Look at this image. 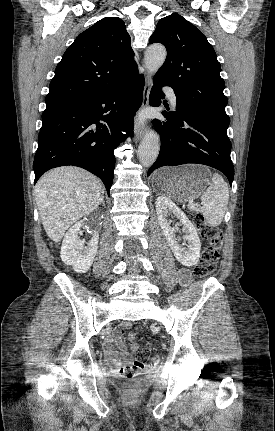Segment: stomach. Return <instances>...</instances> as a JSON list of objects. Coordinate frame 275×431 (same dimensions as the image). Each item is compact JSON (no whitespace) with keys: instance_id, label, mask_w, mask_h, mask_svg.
<instances>
[{"instance_id":"stomach-1","label":"stomach","mask_w":275,"mask_h":431,"mask_svg":"<svg viewBox=\"0 0 275 431\" xmlns=\"http://www.w3.org/2000/svg\"><path fill=\"white\" fill-rule=\"evenodd\" d=\"M211 172L197 164L179 167H164L157 170L152 177L154 190L177 202L195 199L210 185Z\"/></svg>"}]
</instances>
